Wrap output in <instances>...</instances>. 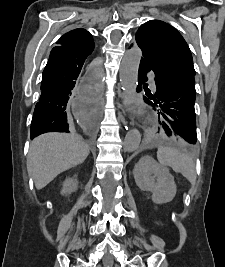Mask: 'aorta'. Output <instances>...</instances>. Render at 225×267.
<instances>
[{"label": "aorta", "instance_id": "obj_1", "mask_svg": "<svg viewBox=\"0 0 225 267\" xmlns=\"http://www.w3.org/2000/svg\"><path fill=\"white\" fill-rule=\"evenodd\" d=\"M142 57V50L139 47L129 49L120 67V83L127 93H135L138 79V69ZM141 136L138 130L129 131L124 139V149L127 152L136 151L139 148Z\"/></svg>", "mask_w": 225, "mask_h": 267}]
</instances>
